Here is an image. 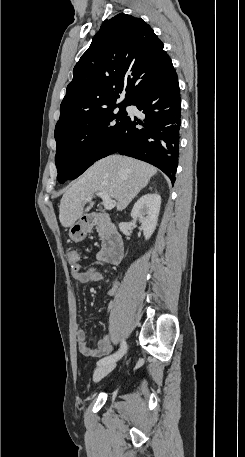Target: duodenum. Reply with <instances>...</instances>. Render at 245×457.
I'll return each mask as SVG.
<instances>
[{
  "instance_id": "obj_1",
  "label": "duodenum",
  "mask_w": 245,
  "mask_h": 457,
  "mask_svg": "<svg viewBox=\"0 0 245 457\" xmlns=\"http://www.w3.org/2000/svg\"><path fill=\"white\" fill-rule=\"evenodd\" d=\"M87 226H100L105 234L99 259L105 263L118 264L124 256V244L120 233L108 214H90L85 218Z\"/></svg>"
}]
</instances>
